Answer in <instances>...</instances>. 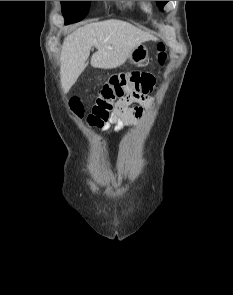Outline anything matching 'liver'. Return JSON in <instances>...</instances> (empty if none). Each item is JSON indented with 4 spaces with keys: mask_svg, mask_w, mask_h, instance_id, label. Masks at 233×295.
<instances>
[{
    "mask_svg": "<svg viewBox=\"0 0 233 295\" xmlns=\"http://www.w3.org/2000/svg\"><path fill=\"white\" fill-rule=\"evenodd\" d=\"M154 39L134 25L116 19L93 22L76 29L62 45L60 78L63 92L70 90L88 65L92 46L97 51L91 57V66L112 69L124 64L137 45Z\"/></svg>",
    "mask_w": 233,
    "mask_h": 295,
    "instance_id": "liver-1",
    "label": "liver"
}]
</instances>
